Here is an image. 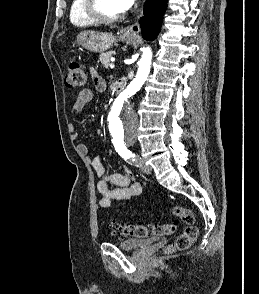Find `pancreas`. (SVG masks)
Listing matches in <instances>:
<instances>
[{"instance_id": "cf45deb5", "label": "pancreas", "mask_w": 259, "mask_h": 294, "mask_svg": "<svg viewBox=\"0 0 259 294\" xmlns=\"http://www.w3.org/2000/svg\"><path fill=\"white\" fill-rule=\"evenodd\" d=\"M115 53L113 51H109L106 53H101L99 56L98 63H101L105 68H108L110 64V58L114 55Z\"/></svg>"}]
</instances>
